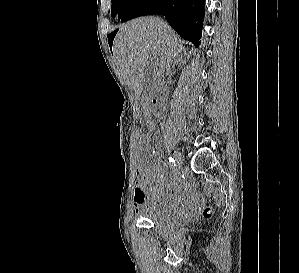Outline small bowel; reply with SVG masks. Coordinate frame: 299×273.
<instances>
[{
	"label": "small bowel",
	"instance_id": "small-bowel-1",
	"mask_svg": "<svg viewBox=\"0 0 299 273\" xmlns=\"http://www.w3.org/2000/svg\"><path fill=\"white\" fill-rule=\"evenodd\" d=\"M146 127L148 133L144 136L151 140V132L155 130L156 124L148 119ZM138 151L148 158H157V152L151 145L147 148L143 146L142 136L138 139ZM134 183L132 203L136 211L144 207L159 212L174 211L191 216L198 209L197 201L183 188L177 177L166 173L160 162L148 166L139 163Z\"/></svg>",
	"mask_w": 299,
	"mask_h": 273
}]
</instances>
